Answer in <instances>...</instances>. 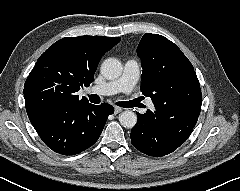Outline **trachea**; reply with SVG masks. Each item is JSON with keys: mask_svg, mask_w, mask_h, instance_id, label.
<instances>
[{"mask_svg": "<svg viewBox=\"0 0 240 191\" xmlns=\"http://www.w3.org/2000/svg\"><path fill=\"white\" fill-rule=\"evenodd\" d=\"M89 100L91 103H95V104L100 103V97L96 94L89 95ZM116 105L120 107H126V102H117Z\"/></svg>", "mask_w": 240, "mask_h": 191, "instance_id": "obj_1", "label": "trachea"}]
</instances>
